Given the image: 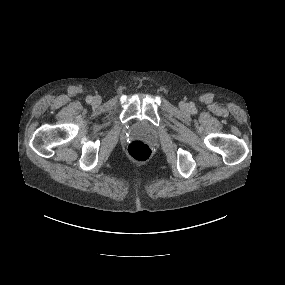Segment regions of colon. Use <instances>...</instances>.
<instances>
[{
    "label": "colon",
    "mask_w": 285,
    "mask_h": 285,
    "mask_svg": "<svg viewBox=\"0 0 285 285\" xmlns=\"http://www.w3.org/2000/svg\"><path fill=\"white\" fill-rule=\"evenodd\" d=\"M128 154L130 158L137 162L147 161L151 156V148L143 141H132L128 146Z\"/></svg>",
    "instance_id": "1"
}]
</instances>
